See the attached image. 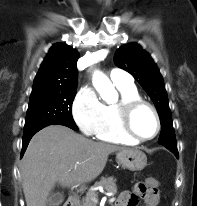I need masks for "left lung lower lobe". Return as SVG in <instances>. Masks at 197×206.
I'll use <instances>...</instances> for the list:
<instances>
[{"instance_id": "obj_1", "label": "left lung lower lobe", "mask_w": 197, "mask_h": 206, "mask_svg": "<svg viewBox=\"0 0 197 206\" xmlns=\"http://www.w3.org/2000/svg\"><path fill=\"white\" fill-rule=\"evenodd\" d=\"M167 149H169L171 152L175 154V156L178 158V151H177V145H164Z\"/></svg>"}]
</instances>
